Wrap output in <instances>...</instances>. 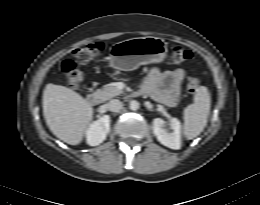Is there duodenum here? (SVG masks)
<instances>
[{
  "mask_svg": "<svg viewBox=\"0 0 260 205\" xmlns=\"http://www.w3.org/2000/svg\"><path fill=\"white\" fill-rule=\"evenodd\" d=\"M86 102L92 107H97L100 104V97L97 93L90 92L86 95Z\"/></svg>",
  "mask_w": 260,
  "mask_h": 205,
  "instance_id": "duodenum-1",
  "label": "duodenum"
}]
</instances>
